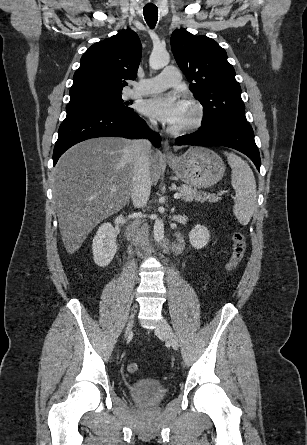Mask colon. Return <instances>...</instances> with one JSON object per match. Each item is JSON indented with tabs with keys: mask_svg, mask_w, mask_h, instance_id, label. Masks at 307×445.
Masks as SVG:
<instances>
[{
	"mask_svg": "<svg viewBox=\"0 0 307 445\" xmlns=\"http://www.w3.org/2000/svg\"><path fill=\"white\" fill-rule=\"evenodd\" d=\"M232 253L226 265L228 272L234 271L241 263L246 252V237L240 229H236L232 234ZM129 373H137L139 366L136 363H130L127 367Z\"/></svg>",
	"mask_w": 307,
	"mask_h": 445,
	"instance_id": "5ec220e1",
	"label": "colon"
}]
</instances>
